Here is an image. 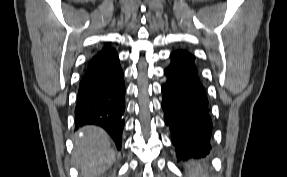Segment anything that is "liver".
Here are the masks:
<instances>
[{
	"label": "liver",
	"mask_w": 287,
	"mask_h": 177,
	"mask_svg": "<svg viewBox=\"0 0 287 177\" xmlns=\"http://www.w3.org/2000/svg\"><path fill=\"white\" fill-rule=\"evenodd\" d=\"M115 155L109 136L101 128L85 126L77 132L74 139V160L81 177H98L111 167Z\"/></svg>",
	"instance_id": "liver-1"
}]
</instances>
